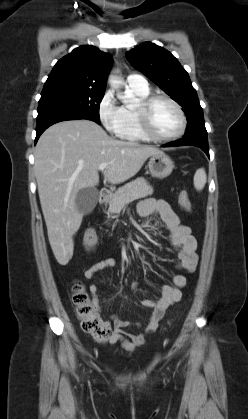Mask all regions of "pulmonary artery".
Instances as JSON below:
<instances>
[{
    "label": "pulmonary artery",
    "instance_id": "e3ab8cb5",
    "mask_svg": "<svg viewBox=\"0 0 248 419\" xmlns=\"http://www.w3.org/2000/svg\"><path fill=\"white\" fill-rule=\"evenodd\" d=\"M127 85L129 88H134L138 90H146L148 88V83L146 79L139 74H131L126 79Z\"/></svg>",
    "mask_w": 248,
    "mask_h": 419
}]
</instances>
